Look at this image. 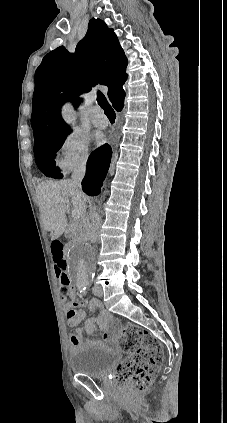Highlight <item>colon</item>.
<instances>
[{
    "mask_svg": "<svg viewBox=\"0 0 227 423\" xmlns=\"http://www.w3.org/2000/svg\"><path fill=\"white\" fill-rule=\"evenodd\" d=\"M51 249L61 290L67 292L70 280L65 272L62 242L54 240ZM120 348L127 356L116 370V382L130 394L145 392L152 385L163 360L160 342L146 329L127 325L121 331Z\"/></svg>",
    "mask_w": 227,
    "mask_h": 423,
    "instance_id": "5ec220e1",
    "label": "colon"
}]
</instances>
